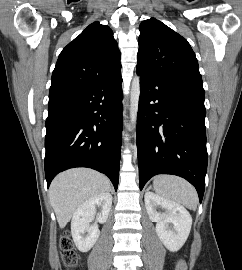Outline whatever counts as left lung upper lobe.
<instances>
[{
	"label": "left lung upper lobe",
	"instance_id": "5c2ea615",
	"mask_svg": "<svg viewBox=\"0 0 242 270\" xmlns=\"http://www.w3.org/2000/svg\"><path fill=\"white\" fill-rule=\"evenodd\" d=\"M137 69L175 87L205 94L198 61L190 44L155 18L139 26Z\"/></svg>",
	"mask_w": 242,
	"mask_h": 270
}]
</instances>
